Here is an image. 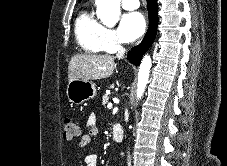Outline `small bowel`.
<instances>
[{
    "label": "small bowel",
    "mask_w": 227,
    "mask_h": 166,
    "mask_svg": "<svg viewBox=\"0 0 227 166\" xmlns=\"http://www.w3.org/2000/svg\"><path fill=\"white\" fill-rule=\"evenodd\" d=\"M96 120H97L96 114L91 113L89 115L87 123H86L87 134L84 135L82 137V139L80 140V142H79L80 147L88 146L91 143L92 138L98 135L99 130L96 126ZM97 159H98L97 154H93V153L86 154L84 156L85 166H97Z\"/></svg>",
    "instance_id": "c3829d8e"
}]
</instances>
